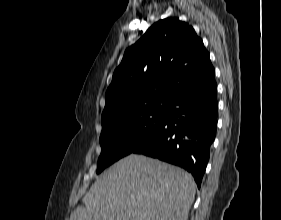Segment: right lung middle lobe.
<instances>
[{
	"mask_svg": "<svg viewBox=\"0 0 281 220\" xmlns=\"http://www.w3.org/2000/svg\"><path fill=\"white\" fill-rule=\"evenodd\" d=\"M166 109L147 110L118 118L102 127L97 173L149 141L161 128Z\"/></svg>",
	"mask_w": 281,
	"mask_h": 220,
	"instance_id": "right-lung-middle-lobe-1",
	"label": "right lung middle lobe"
}]
</instances>
